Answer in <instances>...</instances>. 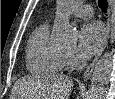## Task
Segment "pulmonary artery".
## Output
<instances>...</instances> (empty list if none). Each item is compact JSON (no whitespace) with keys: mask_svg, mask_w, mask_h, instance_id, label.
I'll list each match as a JSON object with an SVG mask.
<instances>
[{"mask_svg":"<svg viewBox=\"0 0 115 99\" xmlns=\"http://www.w3.org/2000/svg\"><path fill=\"white\" fill-rule=\"evenodd\" d=\"M72 14L76 17L90 18L93 16V8L88 5H77L72 9Z\"/></svg>","mask_w":115,"mask_h":99,"instance_id":"obj_1","label":"pulmonary artery"}]
</instances>
